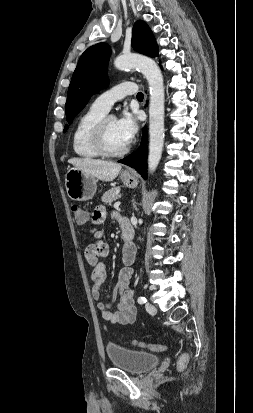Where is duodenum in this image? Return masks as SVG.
<instances>
[{
  "instance_id": "duodenum-1",
  "label": "duodenum",
  "mask_w": 253,
  "mask_h": 413,
  "mask_svg": "<svg viewBox=\"0 0 253 413\" xmlns=\"http://www.w3.org/2000/svg\"><path fill=\"white\" fill-rule=\"evenodd\" d=\"M121 228H122V238H123L124 243L126 245H131L134 232H133V229L130 223L127 220H124L121 223Z\"/></svg>"
}]
</instances>
